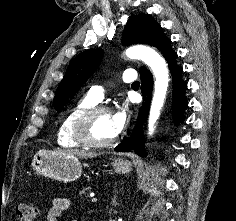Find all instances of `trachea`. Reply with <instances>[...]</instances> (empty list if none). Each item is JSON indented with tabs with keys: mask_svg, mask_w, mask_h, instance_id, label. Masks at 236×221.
<instances>
[{
	"mask_svg": "<svg viewBox=\"0 0 236 221\" xmlns=\"http://www.w3.org/2000/svg\"><path fill=\"white\" fill-rule=\"evenodd\" d=\"M133 85H139V81H135Z\"/></svg>",
	"mask_w": 236,
	"mask_h": 221,
	"instance_id": "trachea-1",
	"label": "trachea"
}]
</instances>
